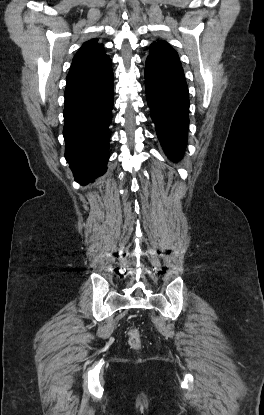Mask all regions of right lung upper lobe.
Here are the masks:
<instances>
[{
    "label": "right lung upper lobe",
    "mask_w": 264,
    "mask_h": 415,
    "mask_svg": "<svg viewBox=\"0 0 264 415\" xmlns=\"http://www.w3.org/2000/svg\"><path fill=\"white\" fill-rule=\"evenodd\" d=\"M111 59L97 39L85 42L75 54L66 82L94 79L111 71Z\"/></svg>",
    "instance_id": "right-lung-upper-lobe-1"
}]
</instances>
